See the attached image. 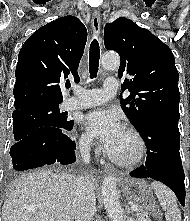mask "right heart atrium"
I'll return each instance as SVG.
<instances>
[{
    "label": "right heart atrium",
    "instance_id": "d8ad5b80",
    "mask_svg": "<svg viewBox=\"0 0 190 221\" xmlns=\"http://www.w3.org/2000/svg\"><path fill=\"white\" fill-rule=\"evenodd\" d=\"M78 145H79L80 150L83 152H89V151L95 149V142H94L93 138L86 133H83L80 136L79 141H78Z\"/></svg>",
    "mask_w": 190,
    "mask_h": 221
}]
</instances>
